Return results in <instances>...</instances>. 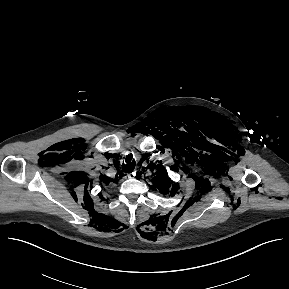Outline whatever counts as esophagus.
<instances>
[{"label": "esophagus", "instance_id": "1", "mask_svg": "<svg viewBox=\"0 0 289 289\" xmlns=\"http://www.w3.org/2000/svg\"><path fill=\"white\" fill-rule=\"evenodd\" d=\"M133 175H134V173H129V174H128V177H129V178H132Z\"/></svg>", "mask_w": 289, "mask_h": 289}]
</instances>
